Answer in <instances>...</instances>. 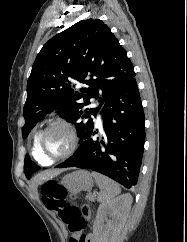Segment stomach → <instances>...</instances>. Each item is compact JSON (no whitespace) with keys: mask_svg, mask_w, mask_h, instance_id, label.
I'll return each instance as SVG.
<instances>
[{"mask_svg":"<svg viewBox=\"0 0 187 242\" xmlns=\"http://www.w3.org/2000/svg\"><path fill=\"white\" fill-rule=\"evenodd\" d=\"M61 185L68 192L77 194L81 191L90 190L93 186V179L88 171L77 170L64 176Z\"/></svg>","mask_w":187,"mask_h":242,"instance_id":"stomach-1","label":"stomach"}]
</instances>
